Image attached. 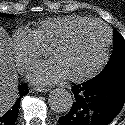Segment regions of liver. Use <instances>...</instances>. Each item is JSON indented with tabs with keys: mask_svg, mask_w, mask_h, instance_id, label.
<instances>
[{
	"mask_svg": "<svg viewBox=\"0 0 125 125\" xmlns=\"http://www.w3.org/2000/svg\"><path fill=\"white\" fill-rule=\"evenodd\" d=\"M10 38L0 27V115L15 101L18 88L16 73L10 49Z\"/></svg>",
	"mask_w": 125,
	"mask_h": 125,
	"instance_id": "1",
	"label": "liver"
}]
</instances>
